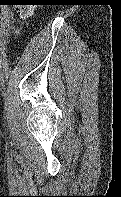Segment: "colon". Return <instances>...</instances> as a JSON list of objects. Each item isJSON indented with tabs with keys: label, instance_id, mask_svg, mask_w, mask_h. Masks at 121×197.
Listing matches in <instances>:
<instances>
[{
	"label": "colon",
	"instance_id": "obj_1",
	"mask_svg": "<svg viewBox=\"0 0 121 197\" xmlns=\"http://www.w3.org/2000/svg\"><path fill=\"white\" fill-rule=\"evenodd\" d=\"M17 2L18 4L15 7L19 16L29 17L33 12L35 0H18Z\"/></svg>",
	"mask_w": 121,
	"mask_h": 197
}]
</instances>
